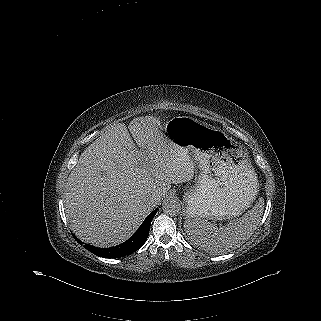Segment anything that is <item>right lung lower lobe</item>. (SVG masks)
<instances>
[{"mask_svg":"<svg viewBox=\"0 0 321 321\" xmlns=\"http://www.w3.org/2000/svg\"><path fill=\"white\" fill-rule=\"evenodd\" d=\"M157 209L150 213L147 218L143 221L142 225L138 228L135 234L130 237L124 243L117 245L115 247L110 248H98L88 244H85L84 247L90 252L94 253L97 256L105 257V258H117L122 257L128 254H131L138 250L146 241L149 231L150 225L153 217L155 216ZM74 238L80 244H84L80 240H78L75 236Z\"/></svg>","mask_w":321,"mask_h":321,"instance_id":"1","label":"right lung lower lobe"}]
</instances>
